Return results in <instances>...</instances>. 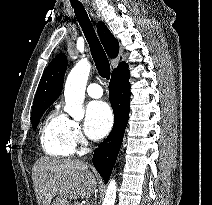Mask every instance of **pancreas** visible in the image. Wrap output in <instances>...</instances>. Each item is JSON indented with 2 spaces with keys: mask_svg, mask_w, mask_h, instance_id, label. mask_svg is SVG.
<instances>
[{
  "mask_svg": "<svg viewBox=\"0 0 212 205\" xmlns=\"http://www.w3.org/2000/svg\"><path fill=\"white\" fill-rule=\"evenodd\" d=\"M72 205H81L79 202H75L74 204H72Z\"/></svg>",
  "mask_w": 212,
  "mask_h": 205,
  "instance_id": "1",
  "label": "pancreas"
}]
</instances>
